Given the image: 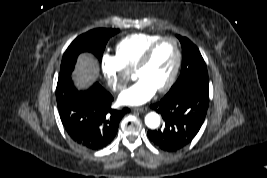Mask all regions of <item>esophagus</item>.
Masks as SVG:
<instances>
[{
  "mask_svg": "<svg viewBox=\"0 0 267 178\" xmlns=\"http://www.w3.org/2000/svg\"><path fill=\"white\" fill-rule=\"evenodd\" d=\"M134 111H138V112H146L148 110L147 107H140V108H134Z\"/></svg>",
  "mask_w": 267,
  "mask_h": 178,
  "instance_id": "1",
  "label": "esophagus"
}]
</instances>
